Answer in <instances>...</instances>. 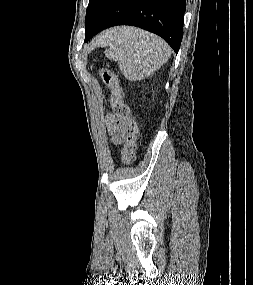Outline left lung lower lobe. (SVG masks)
<instances>
[{"label":"left lung lower lobe","mask_w":253,"mask_h":285,"mask_svg":"<svg viewBox=\"0 0 253 285\" xmlns=\"http://www.w3.org/2000/svg\"><path fill=\"white\" fill-rule=\"evenodd\" d=\"M185 10V0H109L85 35V41L103 29L131 25L161 36L177 53L183 37Z\"/></svg>","instance_id":"obj_1"}]
</instances>
